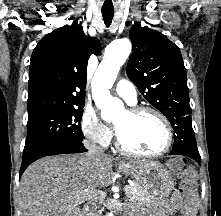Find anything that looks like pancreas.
I'll use <instances>...</instances> for the list:
<instances>
[{"mask_svg": "<svg viewBox=\"0 0 221 216\" xmlns=\"http://www.w3.org/2000/svg\"><path fill=\"white\" fill-rule=\"evenodd\" d=\"M126 196L130 202L138 205H146L152 202V199L148 197L142 188L138 184H134L131 189L126 191ZM91 216H99L92 214Z\"/></svg>", "mask_w": 221, "mask_h": 216, "instance_id": "cf45deb5", "label": "pancreas"}]
</instances>
